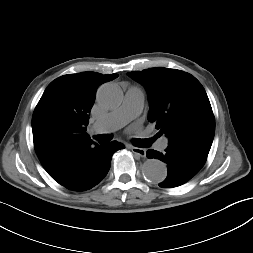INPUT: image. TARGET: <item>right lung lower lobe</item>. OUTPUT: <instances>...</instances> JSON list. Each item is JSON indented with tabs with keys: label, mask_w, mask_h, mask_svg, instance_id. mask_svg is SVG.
<instances>
[{
	"label": "right lung lower lobe",
	"mask_w": 253,
	"mask_h": 253,
	"mask_svg": "<svg viewBox=\"0 0 253 253\" xmlns=\"http://www.w3.org/2000/svg\"><path fill=\"white\" fill-rule=\"evenodd\" d=\"M124 148L117 141L101 145L93 151L83 167L81 178L66 188L74 191H85L97 185L108 173L114 152Z\"/></svg>",
	"instance_id": "1"
}]
</instances>
